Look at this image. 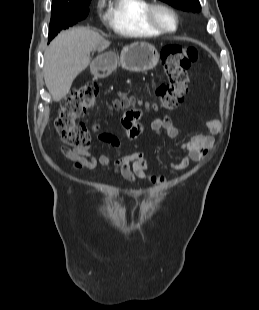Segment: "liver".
<instances>
[{"label": "liver", "mask_w": 259, "mask_h": 310, "mask_svg": "<svg viewBox=\"0 0 259 310\" xmlns=\"http://www.w3.org/2000/svg\"><path fill=\"white\" fill-rule=\"evenodd\" d=\"M109 45L87 27H74L55 37L44 54V80L53 100L66 97L74 79L89 65L92 51Z\"/></svg>", "instance_id": "liver-1"}]
</instances>
